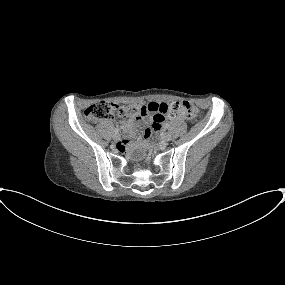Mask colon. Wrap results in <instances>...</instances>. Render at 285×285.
Wrapping results in <instances>:
<instances>
[{"label": "colon", "instance_id": "5ec220e1", "mask_svg": "<svg viewBox=\"0 0 285 285\" xmlns=\"http://www.w3.org/2000/svg\"><path fill=\"white\" fill-rule=\"evenodd\" d=\"M147 113L145 105L137 104L133 106H118L110 102H97L88 106L84 111V116L87 121L97 122L108 120L114 117L115 114L120 118L126 119ZM198 115V110L190 102H174L163 108V120L166 118H174L185 116L192 118ZM162 118H160L161 120Z\"/></svg>", "mask_w": 285, "mask_h": 285}]
</instances>
